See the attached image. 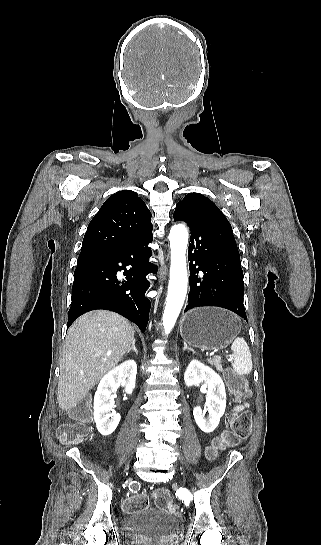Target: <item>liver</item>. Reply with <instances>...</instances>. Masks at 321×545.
Returning <instances> with one entry per match:
<instances>
[{
  "mask_svg": "<svg viewBox=\"0 0 321 545\" xmlns=\"http://www.w3.org/2000/svg\"><path fill=\"white\" fill-rule=\"evenodd\" d=\"M134 333L127 319L110 311H91L73 323L60 359V409L69 411L89 395L130 349Z\"/></svg>",
  "mask_w": 321,
  "mask_h": 545,
  "instance_id": "obj_1",
  "label": "liver"
}]
</instances>
